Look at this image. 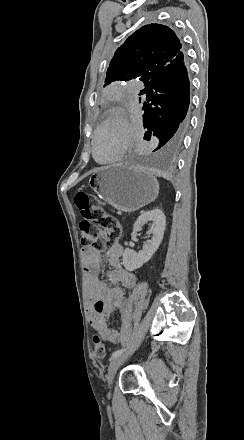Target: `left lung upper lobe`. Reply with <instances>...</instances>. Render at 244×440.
<instances>
[{
  "label": "left lung upper lobe",
  "instance_id": "left-lung-upper-lobe-1",
  "mask_svg": "<svg viewBox=\"0 0 244 440\" xmlns=\"http://www.w3.org/2000/svg\"><path fill=\"white\" fill-rule=\"evenodd\" d=\"M184 58L175 32L161 24L145 25L127 38L111 60L104 86L139 78L146 85L159 71Z\"/></svg>",
  "mask_w": 244,
  "mask_h": 440
}]
</instances>
